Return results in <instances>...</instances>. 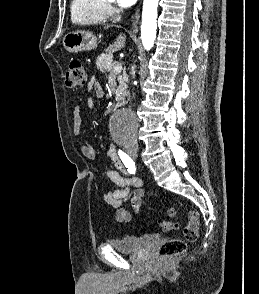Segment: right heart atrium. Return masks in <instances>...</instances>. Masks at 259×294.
Listing matches in <instances>:
<instances>
[{"mask_svg": "<svg viewBox=\"0 0 259 294\" xmlns=\"http://www.w3.org/2000/svg\"><path fill=\"white\" fill-rule=\"evenodd\" d=\"M106 9H107L108 15H113L115 12V8L112 5L106 6Z\"/></svg>", "mask_w": 259, "mask_h": 294, "instance_id": "obj_1", "label": "right heart atrium"}]
</instances>
